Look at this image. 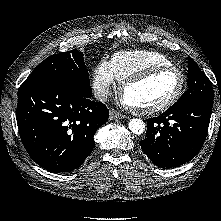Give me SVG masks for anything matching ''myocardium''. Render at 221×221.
Wrapping results in <instances>:
<instances>
[{"label":"myocardium","instance_id":"myocardium-1","mask_svg":"<svg viewBox=\"0 0 221 221\" xmlns=\"http://www.w3.org/2000/svg\"><path fill=\"white\" fill-rule=\"evenodd\" d=\"M165 71H176L180 76L179 87L170 98H168L164 102L159 103L157 105L150 106V107H143V108L135 107V106L130 105L124 101L126 106L130 110H132L133 112H135L137 114H154L157 112L164 111L167 108H169L170 106H172L173 104H175L178 101V99L181 97V95L183 94V91H184L185 85H186V76H185L184 72L182 71V69H180L179 67H177L175 65L154 66V67L147 68L145 70H142L138 73H135V74L127 77L120 84V88H119L120 95L123 98L124 92L129 86L140 83V82H142V81H144V80H146V79H148L158 73L165 72ZM123 100H124V98H123Z\"/></svg>","mask_w":221,"mask_h":221}]
</instances>
